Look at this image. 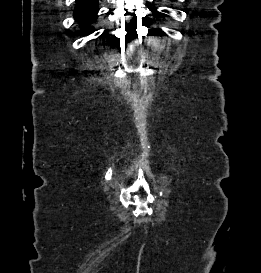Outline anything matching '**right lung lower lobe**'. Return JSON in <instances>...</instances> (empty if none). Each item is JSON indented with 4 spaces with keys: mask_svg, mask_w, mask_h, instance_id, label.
Wrapping results in <instances>:
<instances>
[{
    "mask_svg": "<svg viewBox=\"0 0 261 273\" xmlns=\"http://www.w3.org/2000/svg\"><path fill=\"white\" fill-rule=\"evenodd\" d=\"M98 0H76L74 17L79 22L84 34L92 33L89 27L97 19Z\"/></svg>",
    "mask_w": 261,
    "mask_h": 273,
    "instance_id": "1",
    "label": "right lung lower lobe"
}]
</instances>
